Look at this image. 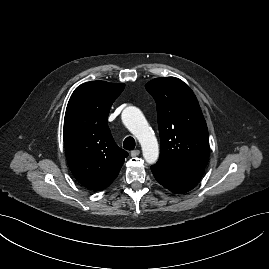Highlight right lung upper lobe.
Here are the masks:
<instances>
[{
	"label": "right lung upper lobe",
	"mask_w": 269,
	"mask_h": 269,
	"mask_svg": "<svg viewBox=\"0 0 269 269\" xmlns=\"http://www.w3.org/2000/svg\"><path fill=\"white\" fill-rule=\"evenodd\" d=\"M124 87L87 82L74 90L68 102L63 128L66 158L74 177L88 189L108 187L128 156L115 143L107 124L110 107Z\"/></svg>",
	"instance_id": "obj_1"
}]
</instances>
